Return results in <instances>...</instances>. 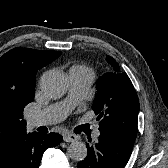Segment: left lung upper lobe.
Returning <instances> with one entry per match:
<instances>
[{
  "mask_svg": "<svg viewBox=\"0 0 168 168\" xmlns=\"http://www.w3.org/2000/svg\"><path fill=\"white\" fill-rule=\"evenodd\" d=\"M112 70L97 81L92 109L98 115L99 130H113L136 139L139 100L131 80L111 56Z\"/></svg>",
  "mask_w": 168,
  "mask_h": 168,
  "instance_id": "left-lung-upper-lobe-1",
  "label": "left lung upper lobe"
}]
</instances>
